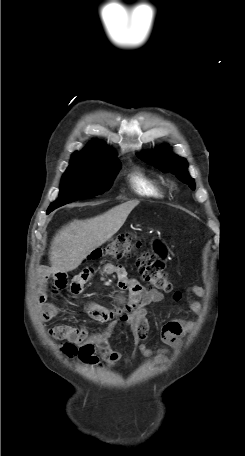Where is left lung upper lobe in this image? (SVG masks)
<instances>
[{
	"instance_id": "5c2ea615",
	"label": "left lung upper lobe",
	"mask_w": 245,
	"mask_h": 456,
	"mask_svg": "<svg viewBox=\"0 0 245 456\" xmlns=\"http://www.w3.org/2000/svg\"><path fill=\"white\" fill-rule=\"evenodd\" d=\"M145 160L153 163L163 172H172L187 183L192 190L195 188L194 180L187 172L188 164L184 158L172 154L167 146H163L153 153L139 154Z\"/></svg>"
}]
</instances>
